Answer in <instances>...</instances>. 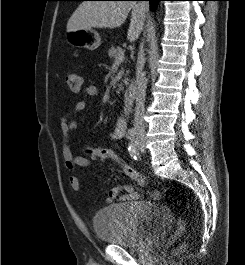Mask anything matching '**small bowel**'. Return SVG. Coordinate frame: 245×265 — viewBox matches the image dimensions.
<instances>
[{
	"mask_svg": "<svg viewBox=\"0 0 245 265\" xmlns=\"http://www.w3.org/2000/svg\"><path fill=\"white\" fill-rule=\"evenodd\" d=\"M81 92L89 97H96L100 94V90L96 85L89 84L82 86ZM86 107V100H79L73 107L72 112L66 114L61 118L60 127L61 135L63 139V159L65 163V168L72 172L77 167L80 168H89L92 166V161L87 157L75 155L69 145V140L72 132L76 129V123L70 119V116L73 113L80 112ZM125 132V126L121 123L117 124L112 131L110 132V137L113 140H118L123 137ZM69 186L74 191H79L81 189V183L77 176L70 175ZM123 193V194H122ZM140 197L139 193L134 189L133 186L125 184L119 185L111 188L108 191L107 197L105 199L106 203H112L113 201H135ZM152 199H159L160 192L154 190L150 193Z\"/></svg>",
	"mask_w": 245,
	"mask_h": 265,
	"instance_id": "1",
	"label": "small bowel"
}]
</instances>
